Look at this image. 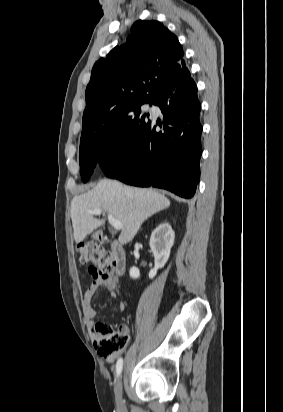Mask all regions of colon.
<instances>
[{
    "mask_svg": "<svg viewBox=\"0 0 283 412\" xmlns=\"http://www.w3.org/2000/svg\"><path fill=\"white\" fill-rule=\"evenodd\" d=\"M80 261L89 264L92 276L105 280H115V264L110 255L95 244L79 247ZM97 336L99 352L106 358H111L120 352L129 341V336L122 328L116 329L108 323L99 322L94 327Z\"/></svg>",
    "mask_w": 283,
    "mask_h": 412,
    "instance_id": "colon-1",
    "label": "colon"
}]
</instances>
